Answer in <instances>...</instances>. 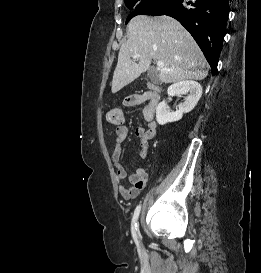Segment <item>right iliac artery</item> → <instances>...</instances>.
Here are the masks:
<instances>
[{
    "label": "right iliac artery",
    "mask_w": 261,
    "mask_h": 273,
    "mask_svg": "<svg viewBox=\"0 0 261 273\" xmlns=\"http://www.w3.org/2000/svg\"><path fill=\"white\" fill-rule=\"evenodd\" d=\"M140 210H141V205H138L134 211V215H133V219H132V223H131V233H132V237L136 243V245H139V241H138V236H137V220L140 214Z\"/></svg>",
    "instance_id": "82829eb1"
}]
</instances>
